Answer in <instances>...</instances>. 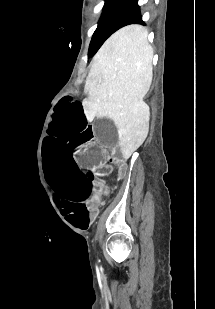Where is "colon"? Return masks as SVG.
<instances>
[{"label":"colon","mask_w":215,"mask_h":309,"mask_svg":"<svg viewBox=\"0 0 215 309\" xmlns=\"http://www.w3.org/2000/svg\"><path fill=\"white\" fill-rule=\"evenodd\" d=\"M101 153H102V156H103V157H105V156H106V154H105L102 150H101ZM108 158H109V159H111V157H110V156H108ZM100 169H101L102 171H104V170L106 169V167L101 166V167H100Z\"/></svg>","instance_id":"1"}]
</instances>
